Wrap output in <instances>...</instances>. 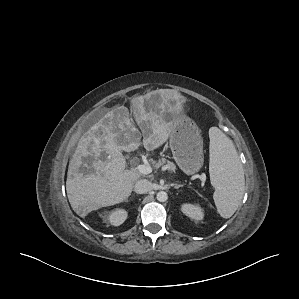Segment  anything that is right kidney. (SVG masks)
<instances>
[{
    "label": "right kidney",
    "instance_id": "obj_1",
    "mask_svg": "<svg viewBox=\"0 0 299 299\" xmlns=\"http://www.w3.org/2000/svg\"><path fill=\"white\" fill-rule=\"evenodd\" d=\"M127 216L125 209L117 208L106 216V221L113 226H119L127 219Z\"/></svg>",
    "mask_w": 299,
    "mask_h": 299
}]
</instances>
